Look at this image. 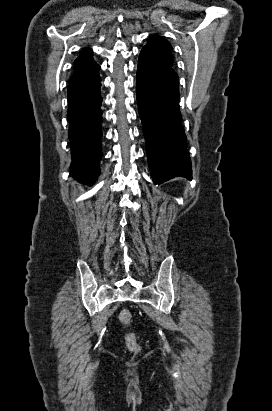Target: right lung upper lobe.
I'll return each instance as SVG.
<instances>
[{"instance_id": "cb5924a9", "label": "right lung upper lobe", "mask_w": 272, "mask_h": 411, "mask_svg": "<svg viewBox=\"0 0 272 411\" xmlns=\"http://www.w3.org/2000/svg\"><path fill=\"white\" fill-rule=\"evenodd\" d=\"M92 50L84 48L74 61V73L70 78L67 92L82 89L98 78L99 65L91 57Z\"/></svg>"}]
</instances>
